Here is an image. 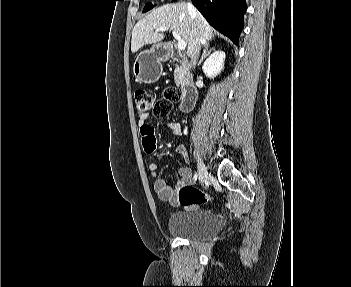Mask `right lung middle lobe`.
Wrapping results in <instances>:
<instances>
[{"label": "right lung middle lobe", "instance_id": "dd1d6c3e", "mask_svg": "<svg viewBox=\"0 0 351 287\" xmlns=\"http://www.w3.org/2000/svg\"><path fill=\"white\" fill-rule=\"evenodd\" d=\"M154 7V5L151 2L146 3L143 12H147L149 10H151Z\"/></svg>", "mask_w": 351, "mask_h": 287}]
</instances>
